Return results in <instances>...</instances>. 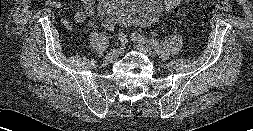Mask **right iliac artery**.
Here are the masks:
<instances>
[{
    "label": "right iliac artery",
    "instance_id": "right-iliac-artery-1",
    "mask_svg": "<svg viewBox=\"0 0 253 131\" xmlns=\"http://www.w3.org/2000/svg\"><path fill=\"white\" fill-rule=\"evenodd\" d=\"M126 36L123 33H119L118 40L124 45L126 43Z\"/></svg>",
    "mask_w": 253,
    "mask_h": 131
}]
</instances>
